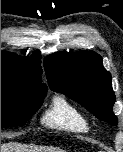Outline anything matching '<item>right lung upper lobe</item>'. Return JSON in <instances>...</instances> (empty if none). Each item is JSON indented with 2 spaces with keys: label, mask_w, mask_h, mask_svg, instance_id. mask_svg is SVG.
I'll list each match as a JSON object with an SVG mask.
<instances>
[{
  "label": "right lung upper lobe",
  "mask_w": 123,
  "mask_h": 152,
  "mask_svg": "<svg viewBox=\"0 0 123 152\" xmlns=\"http://www.w3.org/2000/svg\"><path fill=\"white\" fill-rule=\"evenodd\" d=\"M40 59L20 57L7 51L1 52V82H9L20 90L47 92L46 84L41 82L42 67Z\"/></svg>",
  "instance_id": "cb5924a9"
}]
</instances>
